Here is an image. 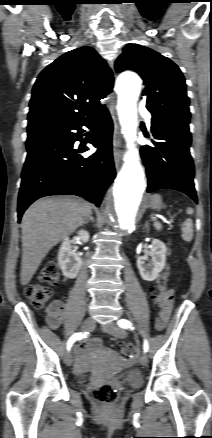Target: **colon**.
Returning <instances> with one entry per match:
<instances>
[{
	"mask_svg": "<svg viewBox=\"0 0 212 438\" xmlns=\"http://www.w3.org/2000/svg\"><path fill=\"white\" fill-rule=\"evenodd\" d=\"M167 276L168 273L167 270H165L158 278L157 284L150 291L152 299L160 297L167 291ZM59 277L60 271L58 264L56 262H49L40 271L39 279L41 282L31 283L26 287V297L35 308H42L48 303L52 295L51 287L58 282ZM117 345L125 356H130L134 351V346L131 343L118 342ZM92 394L96 400L104 404H111L118 398V390L111 383L95 388Z\"/></svg>",
	"mask_w": 212,
	"mask_h": 438,
	"instance_id": "1",
	"label": "colon"
}]
</instances>
